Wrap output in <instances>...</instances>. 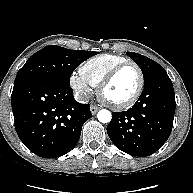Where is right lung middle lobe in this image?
<instances>
[{
	"mask_svg": "<svg viewBox=\"0 0 193 193\" xmlns=\"http://www.w3.org/2000/svg\"><path fill=\"white\" fill-rule=\"evenodd\" d=\"M94 51L70 50L56 45L47 46L33 54L18 71L14 84L29 79H48L70 85L73 71Z\"/></svg>",
	"mask_w": 193,
	"mask_h": 193,
	"instance_id": "dd1d6c3e",
	"label": "right lung middle lobe"
}]
</instances>
